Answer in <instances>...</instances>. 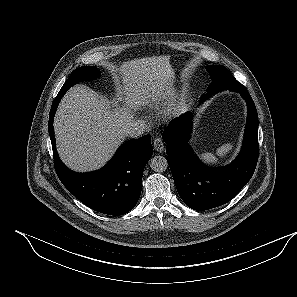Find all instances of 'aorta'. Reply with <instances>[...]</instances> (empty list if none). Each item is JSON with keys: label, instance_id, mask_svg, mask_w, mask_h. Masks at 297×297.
Masks as SVG:
<instances>
[{"label": "aorta", "instance_id": "1", "mask_svg": "<svg viewBox=\"0 0 297 297\" xmlns=\"http://www.w3.org/2000/svg\"><path fill=\"white\" fill-rule=\"evenodd\" d=\"M150 168L155 172H163L168 168L167 159L163 156H154L150 160Z\"/></svg>", "mask_w": 297, "mask_h": 297}]
</instances>
